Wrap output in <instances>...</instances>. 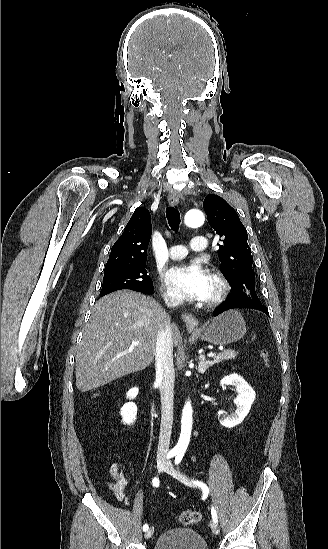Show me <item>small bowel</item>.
Returning <instances> with one entry per match:
<instances>
[{
    "label": "small bowel",
    "mask_w": 328,
    "mask_h": 549,
    "mask_svg": "<svg viewBox=\"0 0 328 549\" xmlns=\"http://www.w3.org/2000/svg\"><path fill=\"white\" fill-rule=\"evenodd\" d=\"M109 474L114 479V482L110 484V488L113 491L118 501H123L126 498L125 488L128 484V477L123 473L116 463H112L109 467Z\"/></svg>",
    "instance_id": "small-bowel-1"
}]
</instances>
